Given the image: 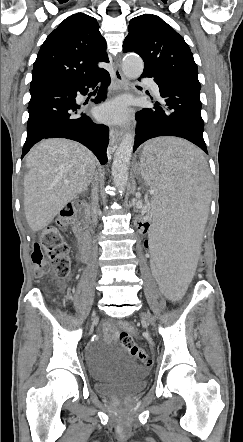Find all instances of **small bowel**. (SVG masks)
I'll return each mask as SVG.
<instances>
[{"mask_svg":"<svg viewBox=\"0 0 243 442\" xmlns=\"http://www.w3.org/2000/svg\"><path fill=\"white\" fill-rule=\"evenodd\" d=\"M103 331H104V339L107 342H111V341L116 339V337H117V328L114 325H112L110 323H106L104 325Z\"/></svg>","mask_w":243,"mask_h":442,"instance_id":"obj_1","label":"small bowel"}]
</instances>
